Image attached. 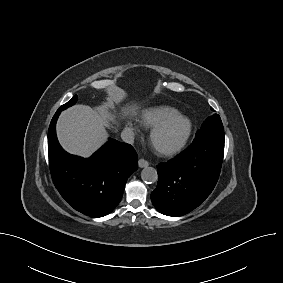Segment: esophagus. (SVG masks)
<instances>
[{"label": "esophagus", "mask_w": 283, "mask_h": 283, "mask_svg": "<svg viewBox=\"0 0 283 283\" xmlns=\"http://www.w3.org/2000/svg\"><path fill=\"white\" fill-rule=\"evenodd\" d=\"M138 165H139L140 168H144V167H147L149 165V163H148L147 160L141 158L138 161Z\"/></svg>", "instance_id": "obj_1"}]
</instances>
